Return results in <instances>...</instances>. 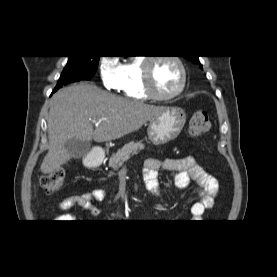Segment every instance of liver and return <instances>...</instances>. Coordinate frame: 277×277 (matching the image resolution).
Wrapping results in <instances>:
<instances>
[{
    "label": "liver",
    "mask_w": 277,
    "mask_h": 277,
    "mask_svg": "<svg viewBox=\"0 0 277 277\" xmlns=\"http://www.w3.org/2000/svg\"><path fill=\"white\" fill-rule=\"evenodd\" d=\"M164 110L163 106L117 97L91 84L62 88L52 98L47 119L49 148L40 169L47 174L67 163L71 156L65 144L70 139L116 140L139 130ZM93 121L98 123L95 130Z\"/></svg>",
    "instance_id": "6515ba94"
}]
</instances>
